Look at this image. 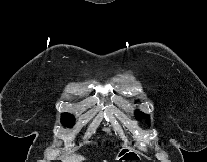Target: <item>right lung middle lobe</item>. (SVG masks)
Listing matches in <instances>:
<instances>
[{
  "label": "right lung middle lobe",
  "instance_id": "right-lung-middle-lobe-1",
  "mask_svg": "<svg viewBox=\"0 0 207 162\" xmlns=\"http://www.w3.org/2000/svg\"><path fill=\"white\" fill-rule=\"evenodd\" d=\"M61 122L64 126L71 127L74 124L75 119L71 114L64 113V114H62Z\"/></svg>",
  "mask_w": 207,
  "mask_h": 162
}]
</instances>
